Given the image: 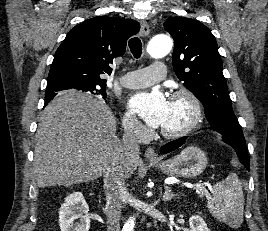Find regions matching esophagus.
Segmentation results:
<instances>
[{
	"label": "esophagus",
	"instance_id": "1",
	"mask_svg": "<svg viewBox=\"0 0 268 231\" xmlns=\"http://www.w3.org/2000/svg\"><path fill=\"white\" fill-rule=\"evenodd\" d=\"M140 25H141V33L142 35L144 36H147L150 32V28H149V25L147 24L146 21L142 20L140 22ZM145 157L150 160V161H158L159 158L154 150L153 147H148L146 150H145Z\"/></svg>",
	"mask_w": 268,
	"mask_h": 231
}]
</instances>
